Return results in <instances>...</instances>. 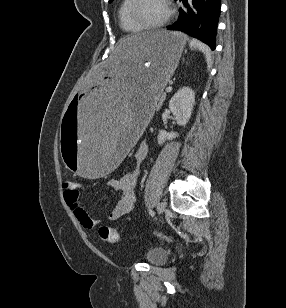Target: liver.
<instances>
[{
    "label": "liver",
    "mask_w": 286,
    "mask_h": 308,
    "mask_svg": "<svg viewBox=\"0 0 286 308\" xmlns=\"http://www.w3.org/2000/svg\"><path fill=\"white\" fill-rule=\"evenodd\" d=\"M153 32H147V33H142V34H138V35H134V36H131L129 38H126V39H123L119 42L116 50L114 51V56H117V55H120L122 53V51L124 50V48L126 47L125 46V43L126 41L128 40H133L135 38H141V37H147L149 36L150 34H152Z\"/></svg>",
    "instance_id": "6515ba94"
}]
</instances>
